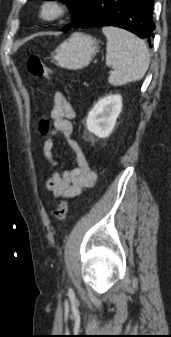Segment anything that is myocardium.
Returning a JSON list of instances; mask_svg holds the SVG:
<instances>
[{"instance_id":"myocardium-1","label":"myocardium","mask_w":171,"mask_h":337,"mask_svg":"<svg viewBox=\"0 0 171 337\" xmlns=\"http://www.w3.org/2000/svg\"><path fill=\"white\" fill-rule=\"evenodd\" d=\"M69 5L64 0H42L38 7V17L46 23L60 21L68 12Z\"/></svg>"}]
</instances>
